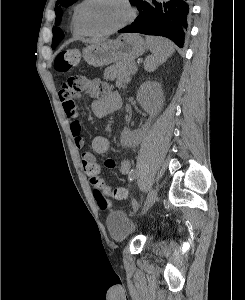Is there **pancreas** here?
<instances>
[{
  "mask_svg": "<svg viewBox=\"0 0 245 300\" xmlns=\"http://www.w3.org/2000/svg\"><path fill=\"white\" fill-rule=\"evenodd\" d=\"M136 72L135 63L131 60L120 61L104 71V79L114 81L118 88H126V85L131 81V75Z\"/></svg>",
  "mask_w": 245,
  "mask_h": 300,
  "instance_id": "pancreas-1",
  "label": "pancreas"
}]
</instances>
